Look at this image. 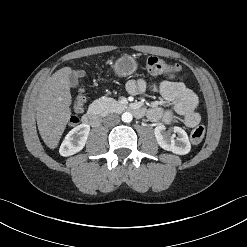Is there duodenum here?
<instances>
[{
	"instance_id": "1",
	"label": "duodenum",
	"mask_w": 247,
	"mask_h": 247,
	"mask_svg": "<svg viewBox=\"0 0 247 247\" xmlns=\"http://www.w3.org/2000/svg\"><path fill=\"white\" fill-rule=\"evenodd\" d=\"M128 109L136 116V117H143L145 114V110L136 104H131L128 106ZM83 123L96 127L100 124V115L95 110H89L87 113L83 115L82 118Z\"/></svg>"
}]
</instances>
